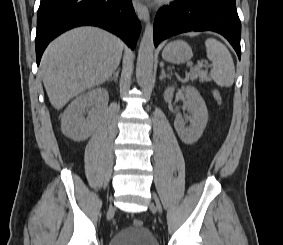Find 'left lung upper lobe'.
Segmentation results:
<instances>
[{"label":"left lung upper lobe","mask_w":283,"mask_h":245,"mask_svg":"<svg viewBox=\"0 0 283 245\" xmlns=\"http://www.w3.org/2000/svg\"><path fill=\"white\" fill-rule=\"evenodd\" d=\"M228 1L235 2V0H228Z\"/></svg>","instance_id":"left-lung-upper-lobe-1"}]
</instances>
